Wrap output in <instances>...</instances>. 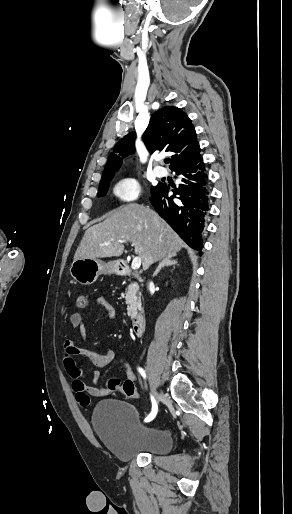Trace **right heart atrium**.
I'll list each match as a JSON object with an SVG mask.
<instances>
[{"mask_svg":"<svg viewBox=\"0 0 292 514\" xmlns=\"http://www.w3.org/2000/svg\"><path fill=\"white\" fill-rule=\"evenodd\" d=\"M141 184L139 179L133 174H126L114 180L110 188L111 197L118 209L120 200L134 202L140 195Z\"/></svg>","mask_w":292,"mask_h":514,"instance_id":"1","label":"right heart atrium"}]
</instances>
